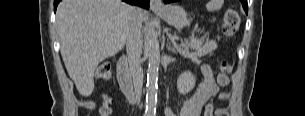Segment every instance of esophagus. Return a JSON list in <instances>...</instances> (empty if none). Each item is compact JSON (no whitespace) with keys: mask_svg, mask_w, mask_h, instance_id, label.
Here are the masks:
<instances>
[{"mask_svg":"<svg viewBox=\"0 0 305 116\" xmlns=\"http://www.w3.org/2000/svg\"><path fill=\"white\" fill-rule=\"evenodd\" d=\"M163 8L161 0H150L151 10H161Z\"/></svg>","mask_w":305,"mask_h":116,"instance_id":"1","label":"esophagus"}]
</instances>
